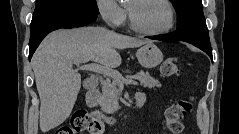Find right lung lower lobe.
I'll use <instances>...</instances> for the list:
<instances>
[{
	"instance_id": "obj_1",
	"label": "right lung lower lobe",
	"mask_w": 239,
	"mask_h": 134,
	"mask_svg": "<svg viewBox=\"0 0 239 134\" xmlns=\"http://www.w3.org/2000/svg\"><path fill=\"white\" fill-rule=\"evenodd\" d=\"M97 15L78 10H61L52 13L35 25L30 26L29 58L43 38L51 31L60 28L81 27L94 22Z\"/></svg>"
}]
</instances>
